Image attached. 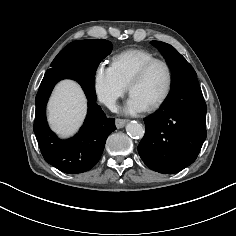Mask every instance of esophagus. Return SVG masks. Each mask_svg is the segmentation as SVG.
<instances>
[{
    "instance_id": "34e87169",
    "label": "esophagus",
    "mask_w": 236,
    "mask_h": 236,
    "mask_svg": "<svg viewBox=\"0 0 236 236\" xmlns=\"http://www.w3.org/2000/svg\"><path fill=\"white\" fill-rule=\"evenodd\" d=\"M128 120L125 119H116L115 124L118 129L123 128Z\"/></svg>"
}]
</instances>
